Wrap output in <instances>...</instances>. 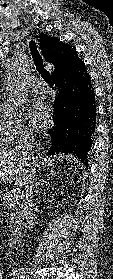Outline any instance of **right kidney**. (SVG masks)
<instances>
[{"label": "right kidney", "mask_w": 113, "mask_h": 279, "mask_svg": "<svg viewBox=\"0 0 113 279\" xmlns=\"http://www.w3.org/2000/svg\"><path fill=\"white\" fill-rule=\"evenodd\" d=\"M51 198H52V200H54V194L52 195V197H51Z\"/></svg>", "instance_id": "right-kidney-1"}]
</instances>
